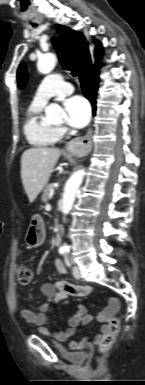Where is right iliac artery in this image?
Here are the masks:
<instances>
[{"mask_svg": "<svg viewBox=\"0 0 145 385\" xmlns=\"http://www.w3.org/2000/svg\"><path fill=\"white\" fill-rule=\"evenodd\" d=\"M64 252H65V251H63V250H60V253H61V254H63Z\"/></svg>", "mask_w": 145, "mask_h": 385, "instance_id": "82829eb1", "label": "right iliac artery"}]
</instances>
